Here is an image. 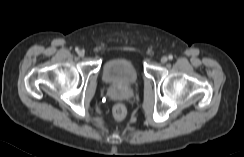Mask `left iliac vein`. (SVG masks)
Instances as JSON below:
<instances>
[{
	"instance_id": "1",
	"label": "left iliac vein",
	"mask_w": 244,
	"mask_h": 157,
	"mask_svg": "<svg viewBox=\"0 0 244 157\" xmlns=\"http://www.w3.org/2000/svg\"><path fill=\"white\" fill-rule=\"evenodd\" d=\"M167 60H168V58H167L166 56H163V57L161 58V62H162V63H166Z\"/></svg>"
}]
</instances>
